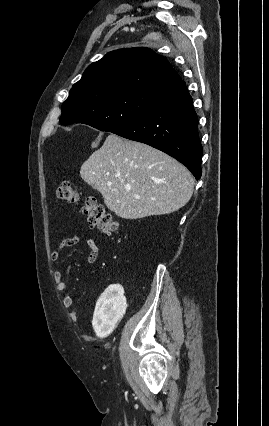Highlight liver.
Wrapping results in <instances>:
<instances>
[{
  "mask_svg": "<svg viewBox=\"0 0 269 426\" xmlns=\"http://www.w3.org/2000/svg\"><path fill=\"white\" fill-rule=\"evenodd\" d=\"M81 178L98 190L107 208L124 219L175 212L193 194L188 169L169 155L116 134L81 166Z\"/></svg>",
  "mask_w": 269,
  "mask_h": 426,
  "instance_id": "1",
  "label": "liver"
}]
</instances>
